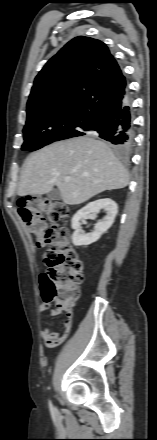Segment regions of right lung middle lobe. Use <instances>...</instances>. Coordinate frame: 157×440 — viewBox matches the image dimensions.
<instances>
[{"label": "right lung middle lobe", "mask_w": 157, "mask_h": 440, "mask_svg": "<svg viewBox=\"0 0 157 440\" xmlns=\"http://www.w3.org/2000/svg\"><path fill=\"white\" fill-rule=\"evenodd\" d=\"M22 150L35 151L54 141L84 135L83 125H70L66 122H47L29 120L23 129Z\"/></svg>", "instance_id": "right-lung-middle-lobe-1"}]
</instances>
